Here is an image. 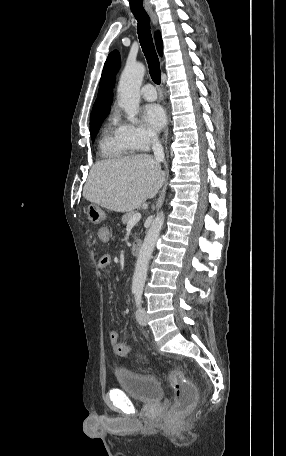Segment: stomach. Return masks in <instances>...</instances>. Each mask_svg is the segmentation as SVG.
<instances>
[{
    "label": "stomach",
    "instance_id": "1",
    "mask_svg": "<svg viewBox=\"0 0 286 456\" xmlns=\"http://www.w3.org/2000/svg\"><path fill=\"white\" fill-rule=\"evenodd\" d=\"M87 216L90 222L98 224L105 219L106 214L98 205L91 204L87 208Z\"/></svg>",
    "mask_w": 286,
    "mask_h": 456
}]
</instances>
